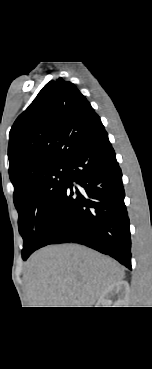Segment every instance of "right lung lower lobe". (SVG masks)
<instances>
[{
  "label": "right lung lower lobe",
  "mask_w": 152,
  "mask_h": 369,
  "mask_svg": "<svg viewBox=\"0 0 152 369\" xmlns=\"http://www.w3.org/2000/svg\"><path fill=\"white\" fill-rule=\"evenodd\" d=\"M124 197L121 169L103 130L69 161L67 184L39 248L79 243L131 269L130 223Z\"/></svg>",
  "instance_id": "1"
}]
</instances>
